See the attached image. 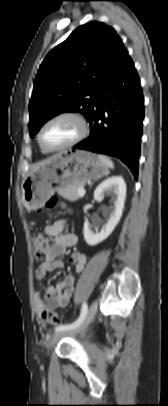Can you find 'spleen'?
I'll list each match as a JSON object with an SVG mask.
<instances>
[{"label": "spleen", "mask_w": 168, "mask_h": 406, "mask_svg": "<svg viewBox=\"0 0 168 406\" xmlns=\"http://www.w3.org/2000/svg\"><path fill=\"white\" fill-rule=\"evenodd\" d=\"M99 158H100L108 167H110L111 169L114 168L113 162H112L108 157H106V156H104V155H99Z\"/></svg>", "instance_id": "3e777b00"}]
</instances>
